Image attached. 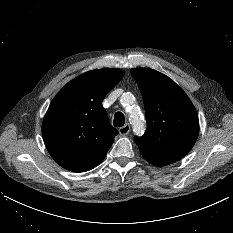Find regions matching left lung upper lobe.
<instances>
[{"instance_id":"1","label":"left lung upper lobe","mask_w":233,"mask_h":233,"mask_svg":"<svg viewBox=\"0 0 233 233\" xmlns=\"http://www.w3.org/2000/svg\"><path fill=\"white\" fill-rule=\"evenodd\" d=\"M132 77L144 101L147 130L135 137L142 155L175 162L194 146L199 134L196 109L186 93L168 76L133 68Z\"/></svg>"}]
</instances>
